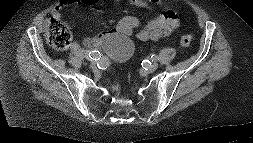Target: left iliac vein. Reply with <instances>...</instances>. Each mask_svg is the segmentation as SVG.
Segmentation results:
<instances>
[{
    "label": "left iliac vein",
    "instance_id": "obj_1",
    "mask_svg": "<svg viewBox=\"0 0 253 143\" xmlns=\"http://www.w3.org/2000/svg\"><path fill=\"white\" fill-rule=\"evenodd\" d=\"M158 68V64L156 62H153L149 67L148 71L149 72H154Z\"/></svg>",
    "mask_w": 253,
    "mask_h": 143
}]
</instances>
